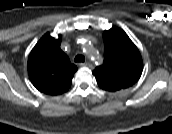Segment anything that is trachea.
<instances>
[{
  "mask_svg": "<svg viewBox=\"0 0 172 134\" xmlns=\"http://www.w3.org/2000/svg\"><path fill=\"white\" fill-rule=\"evenodd\" d=\"M84 61H85L84 55L78 54V55L75 57V62H84Z\"/></svg>",
  "mask_w": 172,
  "mask_h": 134,
  "instance_id": "1",
  "label": "trachea"
}]
</instances>
